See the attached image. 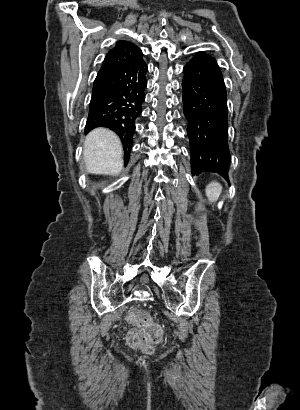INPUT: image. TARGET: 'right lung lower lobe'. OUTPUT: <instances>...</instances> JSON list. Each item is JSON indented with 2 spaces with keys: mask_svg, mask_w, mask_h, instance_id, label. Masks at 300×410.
Segmentation results:
<instances>
[{
  "mask_svg": "<svg viewBox=\"0 0 300 410\" xmlns=\"http://www.w3.org/2000/svg\"><path fill=\"white\" fill-rule=\"evenodd\" d=\"M146 72L143 59L122 63L100 70L92 89L85 132L99 126L113 130L121 138L125 161L145 100Z\"/></svg>",
  "mask_w": 300,
  "mask_h": 410,
  "instance_id": "right-lung-lower-lobe-1",
  "label": "right lung lower lobe"
}]
</instances>
